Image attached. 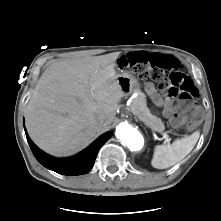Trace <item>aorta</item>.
Instances as JSON below:
<instances>
[{"instance_id": "aorta-1", "label": "aorta", "mask_w": 221, "mask_h": 221, "mask_svg": "<svg viewBox=\"0 0 221 221\" xmlns=\"http://www.w3.org/2000/svg\"><path fill=\"white\" fill-rule=\"evenodd\" d=\"M115 135L122 144L126 145L132 151H138L142 149L144 145V139L141 133L128 123L118 125Z\"/></svg>"}]
</instances>
